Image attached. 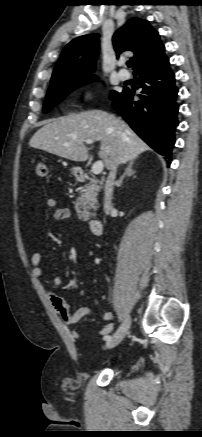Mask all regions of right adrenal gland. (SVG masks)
Masks as SVG:
<instances>
[{
    "label": "right adrenal gland",
    "mask_w": 202,
    "mask_h": 437,
    "mask_svg": "<svg viewBox=\"0 0 202 437\" xmlns=\"http://www.w3.org/2000/svg\"><path fill=\"white\" fill-rule=\"evenodd\" d=\"M133 164H134V161H130V162L128 163V166H127L125 172H124L123 175L120 177V179L116 182V186H117V187H120V186L122 185L123 179H124L126 176H132V175L135 174V171H134L133 168H132V167H133Z\"/></svg>",
    "instance_id": "obj_1"
}]
</instances>
